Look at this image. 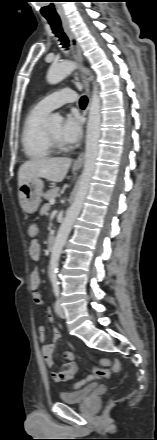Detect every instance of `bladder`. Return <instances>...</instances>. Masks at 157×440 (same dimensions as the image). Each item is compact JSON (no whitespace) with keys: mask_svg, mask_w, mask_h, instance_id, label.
<instances>
[{"mask_svg":"<svg viewBox=\"0 0 157 440\" xmlns=\"http://www.w3.org/2000/svg\"><path fill=\"white\" fill-rule=\"evenodd\" d=\"M96 385H89L73 392H60L59 400L66 404H79L88 400L95 392Z\"/></svg>","mask_w":157,"mask_h":440,"instance_id":"1","label":"bladder"}]
</instances>
